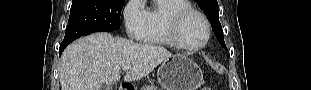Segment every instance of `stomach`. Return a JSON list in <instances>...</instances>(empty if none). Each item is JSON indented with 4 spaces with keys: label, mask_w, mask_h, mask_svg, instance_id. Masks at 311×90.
Listing matches in <instances>:
<instances>
[{
    "label": "stomach",
    "mask_w": 311,
    "mask_h": 90,
    "mask_svg": "<svg viewBox=\"0 0 311 90\" xmlns=\"http://www.w3.org/2000/svg\"><path fill=\"white\" fill-rule=\"evenodd\" d=\"M157 78L162 90H197L203 81L199 66L181 54L167 58L159 67Z\"/></svg>",
    "instance_id": "1"
}]
</instances>
